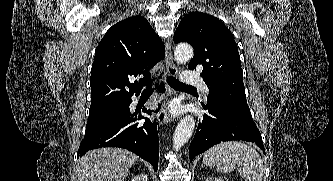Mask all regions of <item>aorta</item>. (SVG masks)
<instances>
[{
	"instance_id": "762f6f07",
	"label": "aorta",
	"mask_w": 333,
	"mask_h": 181,
	"mask_svg": "<svg viewBox=\"0 0 333 181\" xmlns=\"http://www.w3.org/2000/svg\"><path fill=\"white\" fill-rule=\"evenodd\" d=\"M175 60L184 63L193 57V49L189 44H179L174 51ZM195 128V120L192 116L186 115L176 126L173 135V147L178 151L192 136Z\"/></svg>"
}]
</instances>
